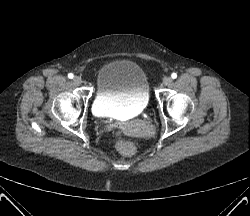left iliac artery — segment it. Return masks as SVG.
Returning a JSON list of instances; mask_svg holds the SVG:
<instances>
[{
  "instance_id": "obj_1",
  "label": "left iliac artery",
  "mask_w": 250,
  "mask_h": 216,
  "mask_svg": "<svg viewBox=\"0 0 250 216\" xmlns=\"http://www.w3.org/2000/svg\"><path fill=\"white\" fill-rule=\"evenodd\" d=\"M171 77H172L173 79H176V78H177V74H176V73H172V74H171Z\"/></svg>"
}]
</instances>
